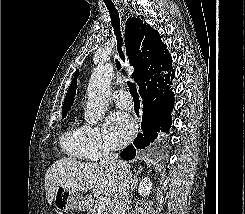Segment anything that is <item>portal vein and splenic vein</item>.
I'll return each mask as SVG.
<instances>
[{"label": "portal vein and splenic vein", "mask_w": 245, "mask_h": 214, "mask_svg": "<svg viewBox=\"0 0 245 214\" xmlns=\"http://www.w3.org/2000/svg\"><path fill=\"white\" fill-rule=\"evenodd\" d=\"M108 205H110V200L106 197H102L99 202L98 211H100L101 208L107 207Z\"/></svg>", "instance_id": "18ae733b"}]
</instances>
